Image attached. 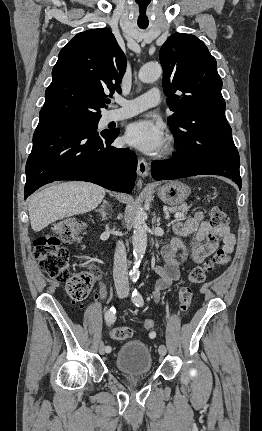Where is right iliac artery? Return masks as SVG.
Here are the masks:
<instances>
[{
  "mask_svg": "<svg viewBox=\"0 0 262 431\" xmlns=\"http://www.w3.org/2000/svg\"><path fill=\"white\" fill-rule=\"evenodd\" d=\"M105 322L107 324H112L115 322L116 320V310L114 307H111L109 310L106 311L105 313ZM106 350L109 352L111 350V347L107 346Z\"/></svg>",
  "mask_w": 262,
  "mask_h": 431,
  "instance_id": "obj_1",
  "label": "right iliac artery"
}]
</instances>
